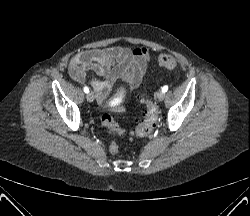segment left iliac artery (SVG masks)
<instances>
[{"label":"left iliac artery","mask_w":250,"mask_h":216,"mask_svg":"<svg viewBox=\"0 0 250 216\" xmlns=\"http://www.w3.org/2000/svg\"><path fill=\"white\" fill-rule=\"evenodd\" d=\"M167 90H168V86L167 85H165V86L162 87V91L163 92H167Z\"/></svg>","instance_id":"1"}]
</instances>
